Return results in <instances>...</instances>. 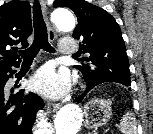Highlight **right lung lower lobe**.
Segmentation results:
<instances>
[{
    "instance_id": "98d812e1",
    "label": "right lung lower lobe",
    "mask_w": 153,
    "mask_h": 134,
    "mask_svg": "<svg viewBox=\"0 0 153 134\" xmlns=\"http://www.w3.org/2000/svg\"><path fill=\"white\" fill-rule=\"evenodd\" d=\"M18 65L0 69V134H32L36 112L43 107V101L38 95H24V89L11 95L4 92L6 82L15 72L11 67Z\"/></svg>"
}]
</instances>
